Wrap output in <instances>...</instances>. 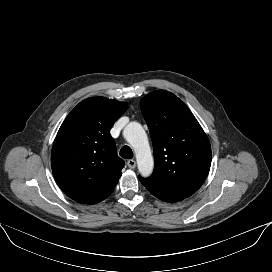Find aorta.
<instances>
[{
	"label": "aorta",
	"mask_w": 272,
	"mask_h": 272,
	"mask_svg": "<svg viewBox=\"0 0 272 272\" xmlns=\"http://www.w3.org/2000/svg\"><path fill=\"white\" fill-rule=\"evenodd\" d=\"M123 134L135 151L140 174L149 176L153 171L154 161L144 128L138 122H130L125 126Z\"/></svg>",
	"instance_id": "1"
}]
</instances>
